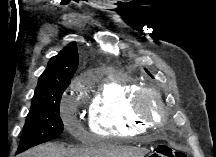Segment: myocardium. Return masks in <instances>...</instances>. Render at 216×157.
Instances as JSON below:
<instances>
[{"instance_id": "myocardium-1", "label": "myocardium", "mask_w": 216, "mask_h": 157, "mask_svg": "<svg viewBox=\"0 0 216 157\" xmlns=\"http://www.w3.org/2000/svg\"><path fill=\"white\" fill-rule=\"evenodd\" d=\"M152 108H157L158 112ZM133 109L140 118L154 125L162 123L159 118L166 113L161 93L155 88L141 89L135 97Z\"/></svg>"}]
</instances>
